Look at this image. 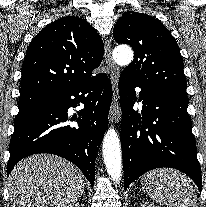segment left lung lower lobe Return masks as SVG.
Here are the masks:
<instances>
[{"label": "left lung lower lobe", "mask_w": 206, "mask_h": 207, "mask_svg": "<svg viewBox=\"0 0 206 207\" xmlns=\"http://www.w3.org/2000/svg\"><path fill=\"white\" fill-rule=\"evenodd\" d=\"M141 88L142 113L133 110L135 88ZM121 147L124 188L145 172L161 167L178 169L190 176L202 190L200 164L185 95L145 86L121 74Z\"/></svg>", "instance_id": "left-lung-lower-lobe-1"}]
</instances>
